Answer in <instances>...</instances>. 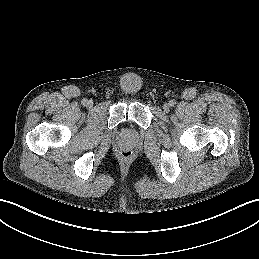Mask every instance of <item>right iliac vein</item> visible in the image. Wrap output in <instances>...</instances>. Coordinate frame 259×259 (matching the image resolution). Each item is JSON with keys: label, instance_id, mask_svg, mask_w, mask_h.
<instances>
[{"label": "right iliac vein", "instance_id": "obj_1", "mask_svg": "<svg viewBox=\"0 0 259 259\" xmlns=\"http://www.w3.org/2000/svg\"><path fill=\"white\" fill-rule=\"evenodd\" d=\"M87 106L92 107V106H93V102H92L91 100L88 101V102H87Z\"/></svg>", "mask_w": 259, "mask_h": 259}]
</instances>
